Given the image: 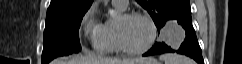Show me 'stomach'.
I'll return each instance as SVG.
<instances>
[{
	"label": "stomach",
	"mask_w": 242,
	"mask_h": 64,
	"mask_svg": "<svg viewBox=\"0 0 242 64\" xmlns=\"http://www.w3.org/2000/svg\"><path fill=\"white\" fill-rule=\"evenodd\" d=\"M149 59H151V61L148 63H145V64H158V62L156 60H154L152 58H149Z\"/></svg>",
	"instance_id": "obj_1"
}]
</instances>
